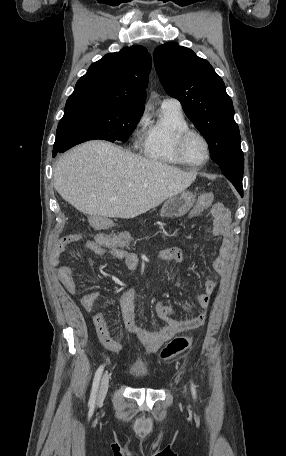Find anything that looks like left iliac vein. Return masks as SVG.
<instances>
[{"mask_svg": "<svg viewBox=\"0 0 286 456\" xmlns=\"http://www.w3.org/2000/svg\"><path fill=\"white\" fill-rule=\"evenodd\" d=\"M184 394H186V390H184Z\"/></svg>", "mask_w": 286, "mask_h": 456, "instance_id": "1", "label": "left iliac vein"}]
</instances>
